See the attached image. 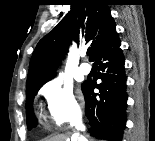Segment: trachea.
Wrapping results in <instances>:
<instances>
[{"mask_svg":"<svg viewBox=\"0 0 155 141\" xmlns=\"http://www.w3.org/2000/svg\"><path fill=\"white\" fill-rule=\"evenodd\" d=\"M87 54L90 56L91 55V50H88L87 51Z\"/></svg>","mask_w":155,"mask_h":141,"instance_id":"1","label":"trachea"}]
</instances>
